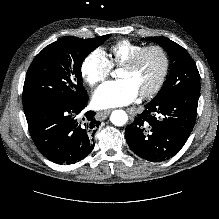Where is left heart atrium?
Segmentation results:
<instances>
[{"label": "left heart atrium", "mask_w": 219, "mask_h": 219, "mask_svg": "<svg viewBox=\"0 0 219 219\" xmlns=\"http://www.w3.org/2000/svg\"><path fill=\"white\" fill-rule=\"evenodd\" d=\"M138 90L125 79L109 81L101 85L93 95V103L98 108H113L133 102Z\"/></svg>", "instance_id": "obj_1"}]
</instances>
